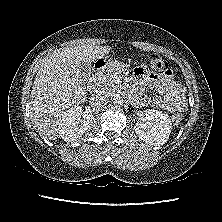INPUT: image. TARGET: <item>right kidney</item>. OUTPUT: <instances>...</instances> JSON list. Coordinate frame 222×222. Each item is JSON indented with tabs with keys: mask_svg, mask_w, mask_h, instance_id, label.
<instances>
[{
	"mask_svg": "<svg viewBox=\"0 0 222 222\" xmlns=\"http://www.w3.org/2000/svg\"><path fill=\"white\" fill-rule=\"evenodd\" d=\"M93 115L74 107L62 120L59 130L60 137L66 142H72L81 137L89 128Z\"/></svg>",
	"mask_w": 222,
	"mask_h": 222,
	"instance_id": "obj_1",
	"label": "right kidney"
}]
</instances>
